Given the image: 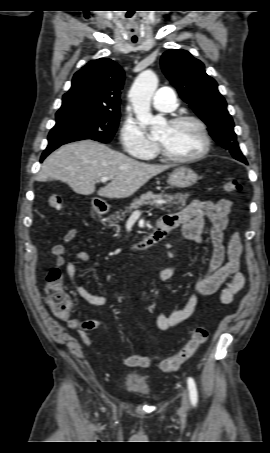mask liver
<instances>
[{"label":"liver","mask_w":270,"mask_h":453,"mask_svg":"<svg viewBox=\"0 0 270 453\" xmlns=\"http://www.w3.org/2000/svg\"><path fill=\"white\" fill-rule=\"evenodd\" d=\"M169 165L147 164L92 140H82L60 147L43 162L36 180L56 179L67 183L74 192L91 195L102 177L111 182L100 188L105 198H127Z\"/></svg>","instance_id":"liver-1"}]
</instances>
